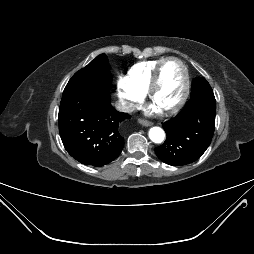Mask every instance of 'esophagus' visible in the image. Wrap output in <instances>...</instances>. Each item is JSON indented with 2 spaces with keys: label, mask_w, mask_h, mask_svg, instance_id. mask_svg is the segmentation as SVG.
<instances>
[{
  "label": "esophagus",
  "mask_w": 254,
  "mask_h": 254,
  "mask_svg": "<svg viewBox=\"0 0 254 254\" xmlns=\"http://www.w3.org/2000/svg\"><path fill=\"white\" fill-rule=\"evenodd\" d=\"M138 121H139V123H140L142 126H145V127H148V126H152V125H153L152 122L147 121V120H144V119H139Z\"/></svg>",
  "instance_id": "1"
}]
</instances>
